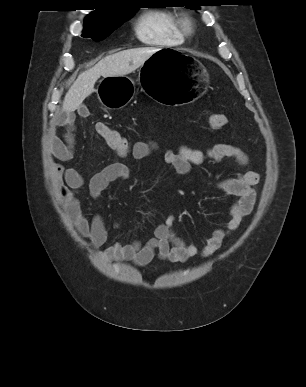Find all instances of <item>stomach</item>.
<instances>
[{
	"mask_svg": "<svg viewBox=\"0 0 306 387\" xmlns=\"http://www.w3.org/2000/svg\"><path fill=\"white\" fill-rule=\"evenodd\" d=\"M139 82L128 77H107L98 90L101 103L108 108L126 105L134 91H147L162 108H188L209 83L205 67L193 56L159 46L140 67Z\"/></svg>",
	"mask_w": 306,
	"mask_h": 387,
	"instance_id": "stomach-1",
	"label": "stomach"
}]
</instances>
